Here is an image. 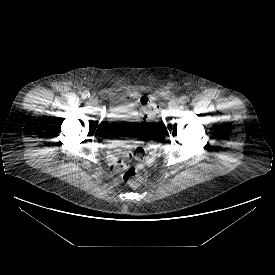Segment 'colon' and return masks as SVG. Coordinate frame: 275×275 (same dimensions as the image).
Instances as JSON below:
<instances>
[{"label": "colon", "mask_w": 275, "mask_h": 275, "mask_svg": "<svg viewBox=\"0 0 275 275\" xmlns=\"http://www.w3.org/2000/svg\"><path fill=\"white\" fill-rule=\"evenodd\" d=\"M138 108L143 112L144 118L154 120L158 114V104L155 98L141 97L137 101ZM128 158L145 160L147 165H151L155 160V153H146L140 146L126 148L119 159L118 166L121 167ZM123 179L132 187H140L146 181V173L142 164L126 169Z\"/></svg>", "instance_id": "1"}]
</instances>
